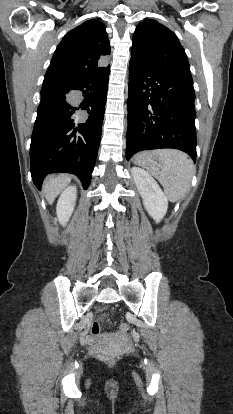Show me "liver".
<instances>
[{"label":"liver","instance_id":"obj_1","mask_svg":"<svg viewBox=\"0 0 233 414\" xmlns=\"http://www.w3.org/2000/svg\"><path fill=\"white\" fill-rule=\"evenodd\" d=\"M70 180L71 177L67 174H58L46 178L43 192L45 193L46 200L49 204L53 203L55 198L67 186Z\"/></svg>","mask_w":233,"mask_h":414}]
</instances>
